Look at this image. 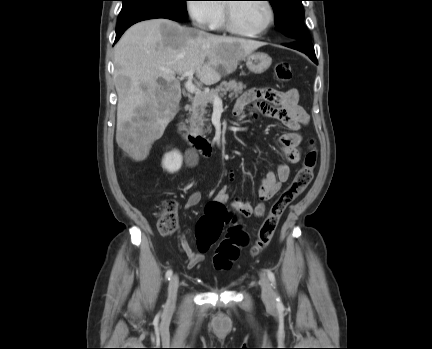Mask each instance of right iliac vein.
<instances>
[{"label": "right iliac vein", "mask_w": 432, "mask_h": 349, "mask_svg": "<svg viewBox=\"0 0 432 349\" xmlns=\"http://www.w3.org/2000/svg\"><path fill=\"white\" fill-rule=\"evenodd\" d=\"M179 279L177 275H173L168 284L167 308L172 310L175 308Z\"/></svg>", "instance_id": "1"}]
</instances>
